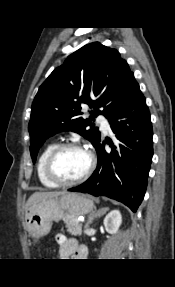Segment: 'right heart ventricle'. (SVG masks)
Here are the masks:
<instances>
[{
	"mask_svg": "<svg viewBox=\"0 0 175 287\" xmlns=\"http://www.w3.org/2000/svg\"><path fill=\"white\" fill-rule=\"evenodd\" d=\"M57 146L56 143L47 144L39 154L36 171L40 183L46 188H56L58 185L49 180L45 174V163L50 152Z\"/></svg>",
	"mask_w": 175,
	"mask_h": 287,
	"instance_id": "e07e8e85",
	"label": "right heart ventricle"
}]
</instances>
